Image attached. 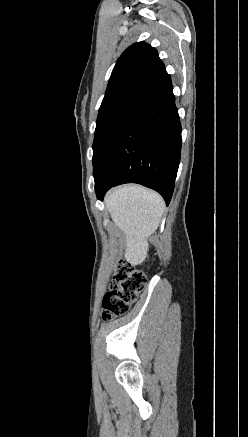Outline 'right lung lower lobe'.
Here are the masks:
<instances>
[{"instance_id": "obj_1", "label": "right lung lower lobe", "mask_w": 248, "mask_h": 437, "mask_svg": "<svg viewBox=\"0 0 248 437\" xmlns=\"http://www.w3.org/2000/svg\"><path fill=\"white\" fill-rule=\"evenodd\" d=\"M181 156V124L171 78L164 70L137 96L98 160V199L123 183H138L170 203Z\"/></svg>"}]
</instances>
